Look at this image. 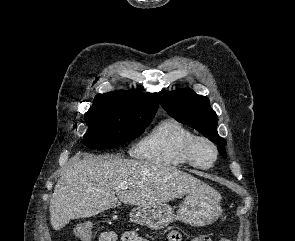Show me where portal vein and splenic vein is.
Here are the masks:
<instances>
[{
    "mask_svg": "<svg viewBox=\"0 0 295 241\" xmlns=\"http://www.w3.org/2000/svg\"><path fill=\"white\" fill-rule=\"evenodd\" d=\"M125 188H127V187L124 186V185H119V186L116 188V190L125 189Z\"/></svg>",
    "mask_w": 295,
    "mask_h": 241,
    "instance_id": "18ae733b",
    "label": "portal vein and splenic vein"
}]
</instances>
